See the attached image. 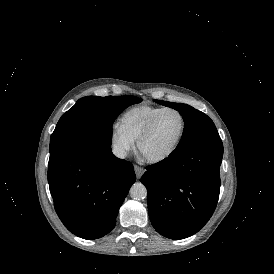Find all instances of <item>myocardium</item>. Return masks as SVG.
<instances>
[{
    "label": "myocardium",
    "instance_id": "1",
    "mask_svg": "<svg viewBox=\"0 0 274 274\" xmlns=\"http://www.w3.org/2000/svg\"><path fill=\"white\" fill-rule=\"evenodd\" d=\"M176 112L180 115L181 120H182V125H181V129L180 132L173 144V146L171 147V149L163 156L159 157V158H145L141 155L140 150H141V145L142 142L145 140V138L152 132V130L154 129V127L156 126L157 122L159 121V119L166 113V112ZM186 127H187V120L186 117L184 115V113L175 107H165L163 108L160 112H158L149 122L148 124L145 126V128L141 131V133L138 135L137 139H136V153L139 157V159L148 164V165H160L163 164L165 162H167L177 151L181 140L185 134L186 131Z\"/></svg>",
    "mask_w": 274,
    "mask_h": 274
}]
</instances>
